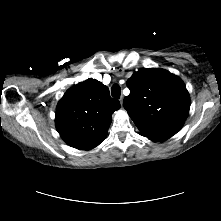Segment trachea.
Returning a JSON list of instances; mask_svg holds the SVG:
<instances>
[{"label":"trachea","instance_id":"trachea-1","mask_svg":"<svg viewBox=\"0 0 221 221\" xmlns=\"http://www.w3.org/2000/svg\"><path fill=\"white\" fill-rule=\"evenodd\" d=\"M121 94V88L119 85H114L111 89V95L115 98H119Z\"/></svg>","mask_w":221,"mask_h":221}]
</instances>
